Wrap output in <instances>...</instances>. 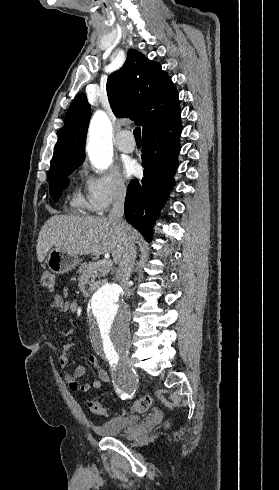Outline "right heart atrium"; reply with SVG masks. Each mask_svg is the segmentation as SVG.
Returning a JSON list of instances; mask_svg holds the SVG:
<instances>
[{
  "label": "right heart atrium",
  "mask_w": 279,
  "mask_h": 490,
  "mask_svg": "<svg viewBox=\"0 0 279 490\" xmlns=\"http://www.w3.org/2000/svg\"><path fill=\"white\" fill-rule=\"evenodd\" d=\"M85 210L95 217L107 212L109 207L124 199L127 186L116 172L95 173L84 167L81 171Z\"/></svg>",
  "instance_id": "right-heart-atrium-1"
}]
</instances>
